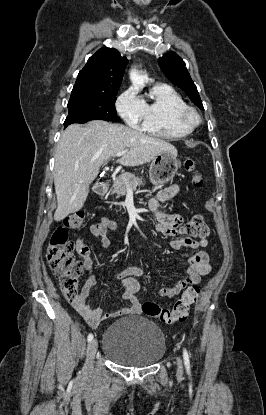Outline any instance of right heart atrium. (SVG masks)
I'll use <instances>...</instances> for the list:
<instances>
[{
	"mask_svg": "<svg viewBox=\"0 0 266 415\" xmlns=\"http://www.w3.org/2000/svg\"><path fill=\"white\" fill-rule=\"evenodd\" d=\"M116 109L125 123L133 128L139 127L143 121L144 101L134 88H128L118 97Z\"/></svg>",
	"mask_w": 266,
	"mask_h": 415,
	"instance_id": "right-heart-atrium-1",
	"label": "right heart atrium"
}]
</instances>
